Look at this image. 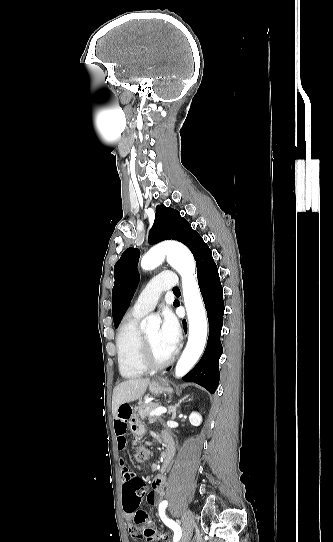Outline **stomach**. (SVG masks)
<instances>
[{"label":"stomach","instance_id":"obj_1","mask_svg":"<svg viewBox=\"0 0 333 542\" xmlns=\"http://www.w3.org/2000/svg\"><path fill=\"white\" fill-rule=\"evenodd\" d=\"M148 390L150 394H154V396H158V394H165V392H171V388L167 380L150 382V384H148ZM130 429L133 433V438L135 440H140L142 438L143 432H145V426H142V424L139 423L132 424Z\"/></svg>","mask_w":333,"mask_h":542}]
</instances>
